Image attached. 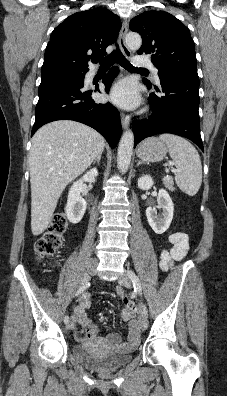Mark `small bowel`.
<instances>
[{
  "instance_id": "c3829d8e",
  "label": "small bowel",
  "mask_w": 227,
  "mask_h": 396,
  "mask_svg": "<svg viewBox=\"0 0 227 396\" xmlns=\"http://www.w3.org/2000/svg\"><path fill=\"white\" fill-rule=\"evenodd\" d=\"M170 247L165 249L161 254L160 267L163 270L168 269L175 261L182 260L188 250L189 241L186 233L174 232L169 236ZM120 297H124L121 289L117 290ZM91 306V296L84 294L79 298V304L74 311V323L79 324L84 328L82 332H75V337L78 341H91L98 344H113L123 346H134L140 339L139 325L134 319V305L130 302L125 303L122 310V319L129 322V333L126 343H122L121 337L117 333H111L104 337L100 335L99 327L87 315V310Z\"/></svg>"
}]
</instances>
